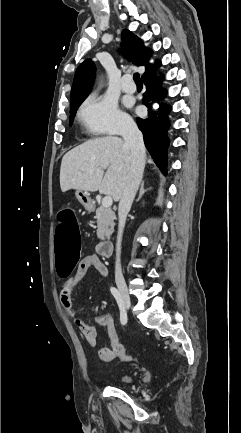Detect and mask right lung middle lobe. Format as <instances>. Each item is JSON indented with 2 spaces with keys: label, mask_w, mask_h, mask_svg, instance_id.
<instances>
[{
  "label": "right lung middle lobe",
  "mask_w": 241,
  "mask_h": 433,
  "mask_svg": "<svg viewBox=\"0 0 241 433\" xmlns=\"http://www.w3.org/2000/svg\"><path fill=\"white\" fill-rule=\"evenodd\" d=\"M82 102L83 100L78 102L74 107L70 108V118H69L70 124H72L76 111Z\"/></svg>",
  "instance_id": "right-lung-middle-lobe-1"
}]
</instances>
